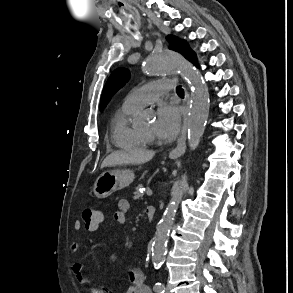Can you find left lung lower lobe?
<instances>
[{
    "mask_svg": "<svg viewBox=\"0 0 293 293\" xmlns=\"http://www.w3.org/2000/svg\"><path fill=\"white\" fill-rule=\"evenodd\" d=\"M195 66H197L199 68V65L197 63V59L196 56H194L191 60H190Z\"/></svg>",
    "mask_w": 293,
    "mask_h": 293,
    "instance_id": "left-lung-lower-lobe-1",
    "label": "left lung lower lobe"
}]
</instances>
